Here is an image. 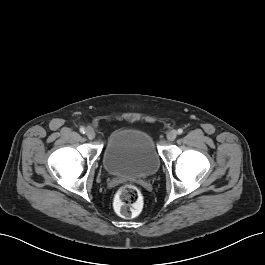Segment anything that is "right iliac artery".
Segmentation results:
<instances>
[{
  "mask_svg": "<svg viewBox=\"0 0 265 265\" xmlns=\"http://www.w3.org/2000/svg\"><path fill=\"white\" fill-rule=\"evenodd\" d=\"M80 132L84 134L85 133V128L84 127H81L80 128Z\"/></svg>",
  "mask_w": 265,
  "mask_h": 265,
  "instance_id": "82829eb1",
  "label": "right iliac artery"
}]
</instances>
